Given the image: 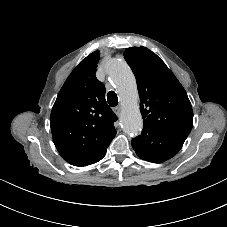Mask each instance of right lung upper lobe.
Here are the masks:
<instances>
[{
  "instance_id": "cb5924a9",
  "label": "right lung upper lobe",
  "mask_w": 227,
  "mask_h": 227,
  "mask_svg": "<svg viewBox=\"0 0 227 227\" xmlns=\"http://www.w3.org/2000/svg\"><path fill=\"white\" fill-rule=\"evenodd\" d=\"M99 51L84 58L71 72L53 105L50 125L60 156L74 166L101 160L116 135V115L96 78Z\"/></svg>"
}]
</instances>
